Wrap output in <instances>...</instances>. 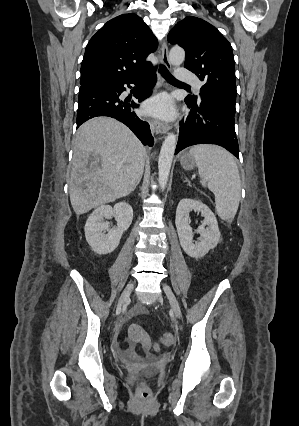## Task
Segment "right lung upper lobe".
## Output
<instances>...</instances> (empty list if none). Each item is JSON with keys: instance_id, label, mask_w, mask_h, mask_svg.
<instances>
[{"instance_id": "1", "label": "right lung upper lobe", "mask_w": 299, "mask_h": 426, "mask_svg": "<svg viewBox=\"0 0 299 426\" xmlns=\"http://www.w3.org/2000/svg\"><path fill=\"white\" fill-rule=\"evenodd\" d=\"M157 39L142 18L123 14L108 21L89 41L80 84H115L140 76L151 67L145 58Z\"/></svg>"}]
</instances>
